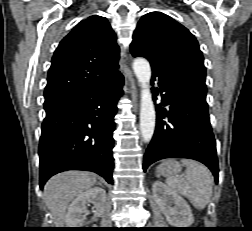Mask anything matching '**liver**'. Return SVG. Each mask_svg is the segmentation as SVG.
I'll use <instances>...</instances> for the list:
<instances>
[{
	"label": "liver",
	"instance_id": "1",
	"mask_svg": "<svg viewBox=\"0 0 252 231\" xmlns=\"http://www.w3.org/2000/svg\"><path fill=\"white\" fill-rule=\"evenodd\" d=\"M95 184L93 174L81 171L63 172L48 180L44 186V200L57 228L65 225L69 202Z\"/></svg>",
	"mask_w": 252,
	"mask_h": 231
}]
</instances>
